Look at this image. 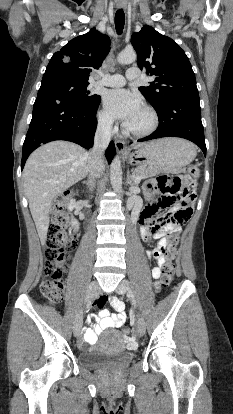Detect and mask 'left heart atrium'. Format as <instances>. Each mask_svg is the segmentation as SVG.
I'll return each instance as SVG.
<instances>
[{
	"label": "left heart atrium",
	"instance_id": "left-heart-atrium-1",
	"mask_svg": "<svg viewBox=\"0 0 233 414\" xmlns=\"http://www.w3.org/2000/svg\"><path fill=\"white\" fill-rule=\"evenodd\" d=\"M103 104L110 116L128 125L142 110L141 99L123 88L108 90L103 96Z\"/></svg>",
	"mask_w": 233,
	"mask_h": 414
}]
</instances>
